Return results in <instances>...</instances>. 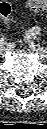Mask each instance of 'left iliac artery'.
Here are the masks:
<instances>
[{"label": "left iliac artery", "mask_w": 47, "mask_h": 129, "mask_svg": "<svg viewBox=\"0 0 47 129\" xmlns=\"http://www.w3.org/2000/svg\"><path fill=\"white\" fill-rule=\"evenodd\" d=\"M40 32V28L39 27H33L30 31H28L27 33V37L28 38H35L36 35H38Z\"/></svg>", "instance_id": "1"}]
</instances>
